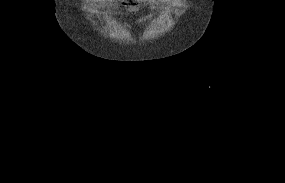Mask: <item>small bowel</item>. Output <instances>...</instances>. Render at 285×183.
Instances as JSON below:
<instances>
[{
    "instance_id": "1",
    "label": "small bowel",
    "mask_w": 285,
    "mask_h": 183,
    "mask_svg": "<svg viewBox=\"0 0 285 183\" xmlns=\"http://www.w3.org/2000/svg\"><path fill=\"white\" fill-rule=\"evenodd\" d=\"M154 1H155V0H142V2H144V3H146V4H153ZM125 10H127V11H129V12H133V11L137 10V8H136L135 6L130 5V6L125 7ZM151 18H152V15H151V14H148V15L142 17V18L137 22V24H142L143 22H145V21H147V20H149V19H151Z\"/></svg>"
}]
</instances>
